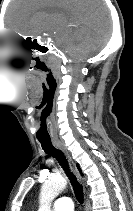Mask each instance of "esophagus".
<instances>
[{
  "instance_id": "obj_1",
  "label": "esophagus",
  "mask_w": 133,
  "mask_h": 211,
  "mask_svg": "<svg viewBox=\"0 0 133 211\" xmlns=\"http://www.w3.org/2000/svg\"><path fill=\"white\" fill-rule=\"evenodd\" d=\"M53 144H54V146H55L57 149H59L60 151H62V152L65 154V156H66V158L68 159V161H69L71 167L73 168V170H74V172H75V174H76V176H77L79 182H80L81 184H83L82 177H81V175H80L78 169L76 168V165H75V163L73 162V160H72V158H71L69 152L67 151L66 147L63 145V143H62L61 141H58V140H57V141H53ZM84 196H85V198H86V192H85V191H84Z\"/></svg>"
}]
</instances>
